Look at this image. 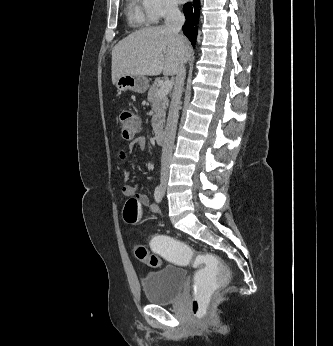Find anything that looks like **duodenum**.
Returning a JSON list of instances; mask_svg holds the SVG:
<instances>
[{
    "instance_id": "duodenum-1",
    "label": "duodenum",
    "mask_w": 333,
    "mask_h": 346,
    "mask_svg": "<svg viewBox=\"0 0 333 346\" xmlns=\"http://www.w3.org/2000/svg\"><path fill=\"white\" fill-rule=\"evenodd\" d=\"M154 137L157 143L162 144L164 142V131L162 129H156Z\"/></svg>"
}]
</instances>
